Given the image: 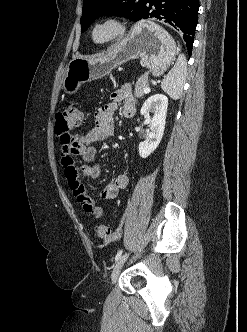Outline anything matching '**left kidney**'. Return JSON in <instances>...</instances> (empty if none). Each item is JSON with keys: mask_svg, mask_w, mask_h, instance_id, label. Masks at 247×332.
<instances>
[{"mask_svg": "<svg viewBox=\"0 0 247 332\" xmlns=\"http://www.w3.org/2000/svg\"><path fill=\"white\" fill-rule=\"evenodd\" d=\"M167 108L168 98L163 94H155L144 102L141 115L150 124L151 131L139 144V155L142 158H147L160 144L165 129ZM150 112L153 113V116L149 115Z\"/></svg>", "mask_w": 247, "mask_h": 332, "instance_id": "5707ae66", "label": "left kidney"}]
</instances>
